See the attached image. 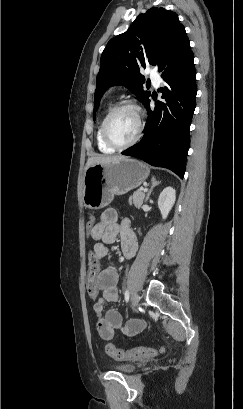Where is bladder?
<instances>
[{
  "instance_id": "31cf9c89",
  "label": "bladder",
  "mask_w": 243,
  "mask_h": 409,
  "mask_svg": "<svg viewBox=\"0 0 243 409\" xmlns=\"http://www.w3.org/2000/svg\"><path fill=\"white\" fill-rule=\"evenodd\" d=\"M116 371L121 372L123 374H132L137 369L136 364H116L113 367Z\"/></svg>"
}]
</instances>
